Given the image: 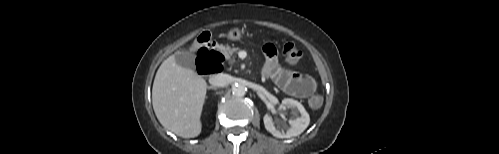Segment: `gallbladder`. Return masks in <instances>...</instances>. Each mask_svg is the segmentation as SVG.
I'll return each mask as SVG.
<instances>
[{"mask_svg": "<svg viewBox=\"0 0 499 154\" xmlns=\"http://www.w3.org/2000/svg\"><path fill=\"white\" fill-rule=\"evenodd\" d=\"M175 61L178 65L194 69L195 68V54L191 51H178L175 53Z\"/></svg>", "mask_w": 499, "mask_h": 154, "instance_id": "bac80fb5", "label": "gallbladder"}]
</instances>
